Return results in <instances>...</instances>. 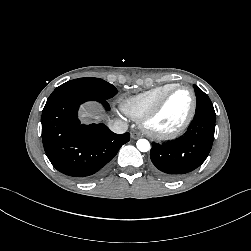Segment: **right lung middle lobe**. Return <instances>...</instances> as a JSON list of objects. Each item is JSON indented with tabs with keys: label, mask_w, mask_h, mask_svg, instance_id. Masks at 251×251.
I'll list each match as a JSON object with an SVG mask.
<instances>
[{
	"label": "right lung middle lobe",
	"mask_w": 251,
	"mask_h": 251,
	"mask_svg": "<svg viewBox=\"0 0 251 251\" xmlns=\"http://www.w3.org/2000/svg\"><path fill=\"white\" fill-rule=\"evenodd\" d=\"M117 93V89L110 83L99 78H79L68 81L57 87L49 98L64 94H80L107 100Z\"/></svg>",
	"instance_id": "obj_1"
}]
</instances>
